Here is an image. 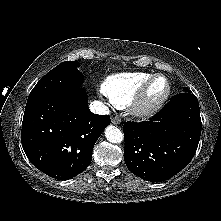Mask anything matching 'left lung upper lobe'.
Returning <instances> with one entry per match:
<instances>
[{
	"label": "left lung upper lobe",
	"instance_id": "obj_1",
	"mask_svg": "<svg viewBox=\"0 0 221 221\" xmlns=\"http://www.w3.org/2000/svg\"><path fill=\"white\" fill-rule=\"evenodd\" d=\"M185 92H190V91L188 90V88H186V89H185Z\"/></svg>",
	"mask_w": 221,
	"mask_h": 221
}]
</instances>
